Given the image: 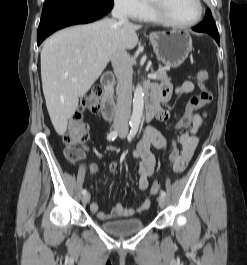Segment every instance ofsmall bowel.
Wrapping results in <instances>:
<instances>
[{"instance_id": "obj_1", "label": "small bowel", "mask_w": 247, "mask_h": 265, "mask_svg": "<svg viewBox=\"0 0 247 265\" xmlns=\"http://www.w3.org/2000/svg\"><path fill=\"white\" fill-rule=\"evenodd\" d=\"M148 87L154 89L156 92L155 117L162 122H165L170 118V113L164 105L174 94L190 95L194 91V84L190 81H185L178 87H173L168 82L159 85H150ZM206 117L207 113L205 111L197 114L193 118L190 130L180 136V144L182 148L174 166L176 172H182L190 161L197 146L199 134L206 125ZM151 146L164 151L167 149V140L157 129L148 127L144 130L137 145V149L133 153V157L139 160L137 186L143 191L149 188V179L154 174L156 167V159L150 150ZM117 169V163L111 162L109 164V170L111 172H116ZM89 171L92 176L96 175L98 172V166L94 163L90 164ZM149 207L150 200L145 199L138 208H126L123 204L117 203L110 211L105 212L99 210L97 203H92L90 205V210L95 214L97 219L107 221L114 218L132 217L137 213L147 210Z\"/></svg>"}]
</instances>
